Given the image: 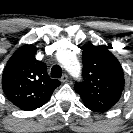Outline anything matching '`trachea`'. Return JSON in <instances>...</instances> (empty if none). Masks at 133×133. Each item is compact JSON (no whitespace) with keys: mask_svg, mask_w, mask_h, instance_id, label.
Instances as JSON below:
<instances>
[{"mask_svg":"<svg viewBox=\"0 0 133 133\" xmlns=\"http://www.w3.org/2000/svg\"><path fill=\"white\" fill-rule=\"evenodd\" d=\"M62 76V69L59 65H54L51 69L52 78H60Z\"/></svg>","mask_w":133,"mask_h":133,"instance_id":"trachea-1","label":"trachea"}]
</instances>
